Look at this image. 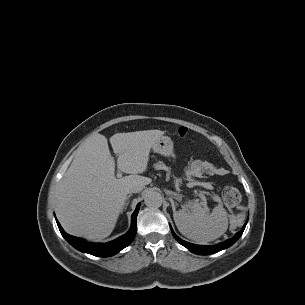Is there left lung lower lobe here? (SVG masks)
<instances>
[{
  "label": "left lung lower lobe",
  "mask_w": 305,
  "mask_h": 305,
  "mask_svg": "<svg viewBox=\"0 0 305 305\" xmlns=\"http://www.w3.org/2000/svg\"><path fill=\"white\" fill-rule=\"evenodd\" d=\"M247 222L245 223V225L243 226L242 230L239 231L238 233L235 234V236L233 238L227 239L225 242H221L217 245L214 246H202V245H194L191 243H188L186 241H183L182 239H180L171 229L173 236L175 237V239L184 247H186L187 249H189L190 251H192L195 254H199V255H209V254H213L216 252H219L223 249H226L228 247H230L231 245H233L242 235L245 226H246Z\"/></svg>",
  "instance_id": "obj_1"
}]
</instances>
